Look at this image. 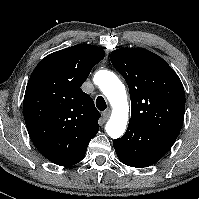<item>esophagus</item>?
I'll return each mask as SVG.
<instances>
[{
	"label": "esophagus",
	"mask_w": 199,
	"mask_h": 199,
	"mask_svg": "<svg viewBox=\"0 0 199 199\" xmlns=\"http://www.w3.org/2000/svg\"><path fill=\"white\" fill-rule=\"evenodd\" d=\"M102 116H103L104 120H108V118L110 117V110L103 112Z\"/></svg>",
	"instance_id": "obj_1"
}]
</instances>
